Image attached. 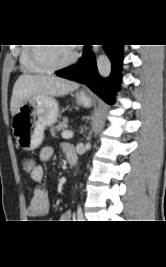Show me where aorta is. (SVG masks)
<instances>
[{
  "label": "aorta",
  "mask_w": 166,
  "mask_h": 267,
  "mask_svg": "<svg viewBox=\"0 0 166 267\" xmlns=\"http://www.w3.org/2000/svg\"><path fill=\"white\" fill-rule=\"evenodd\" d=\"M98 45H93L92 46V51L94 52V53H97V51H98ZM88 139H90V137L88 138ZM87 146H90V143H87Z\"/></svg>",
  "instance_id": "obj_1"
}]
</instances>
